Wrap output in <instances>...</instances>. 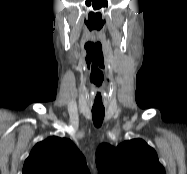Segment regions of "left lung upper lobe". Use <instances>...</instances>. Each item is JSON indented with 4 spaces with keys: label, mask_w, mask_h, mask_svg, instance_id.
Segmentation results:
<instances>
[{
    "label": "left lung upper lobe",
    "mask_w": 187,
    "mask_h": 174,
    "mask_svg": "<svg viewBox=\"0 0 187 174\" xmlns=\"http://www.w3.org/2000/svg\"><path fill=\"white\" fill-rule=\"evenodd\" d=\"M96 165L99 174H165L155 150L141 139L125 141L117 147L100 145Z\"/></svg>",
    "instance_id": "left-lung-upper-lobe-1"
}]
</instances>
